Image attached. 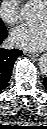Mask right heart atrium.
<instances>
[{
    "label": "right heart atrium",
    "mask_w": 47,
    "mask_h": 129,
    "mask_svg": "<svg viewBox=\"0 0 47 129\" xmlns=\"http://www.w3.org/2000/svg\"><path fill=\"white\" fill-rule=\"evenodd\" d=\"M20 0H2L0 2V18L8 25L16 24L20 19Z\"/></svg>",
    "instance_id": "obj_1"
}]
</instances>
